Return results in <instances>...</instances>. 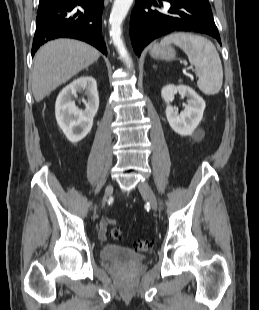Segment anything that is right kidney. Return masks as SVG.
<instances>
[{
    "instance_id": "ca27d5eb",
    "label": "right kidney",
    "mask_w": 259,
    "mask_h": 310,
    "mask_svg": "<svg viewBox=\"0 0 259 310\" xmlns=\"http://www.w3.org/2000/svg\"><path fill=\"white\" fill-rule=\"evenodd\" d=\"M78 92L87 95L84 110H80L73 101ZM98 108L97 83L93 77H80L62 89L56 100L55 116L59 127L70 142L76 143L82 140L91 131Z\"/></svg>"
}]
</instances>
